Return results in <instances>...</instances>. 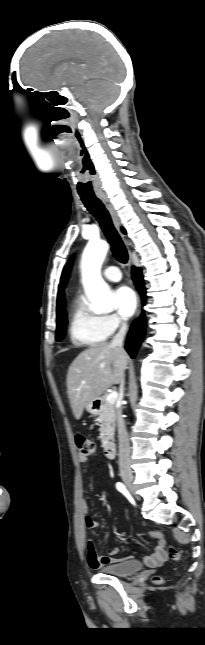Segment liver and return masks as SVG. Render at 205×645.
Returning <instances> with one entry per match:
<instances>
[{"label": "liver", "instance_id": "obj_1", "mask_svg": "<svg viewBox=\"0 0 205 645\" xmlns=\"http://www.w3.org/2000/svg\"><path fill=\"white\" fill-rule=\"evenodd\" d=\"M129 356L110 343H97L81 352L69 367L67 393L74 417L108 388L121 383Z\"/></svg>", "mask_w": 205, "mask_h": 645}]
</instances>
